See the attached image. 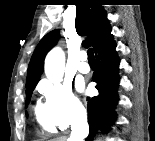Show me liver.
<instances>
[{
    "label": "liver",
    "mask_w": 155,
    "mask_h": 141,
    "mask_svg": "<svg viewBox=\"0 0 155 141\" xmlns=\"http://www.w3.org/2000/svg\"><path fill=\"white\" fill-rule=\"evenodd\" d=\"M52 141H66V137H59V138L53 139Z\"/></svg>",
    "instance_id": "obj_1"
}]
</instances>
